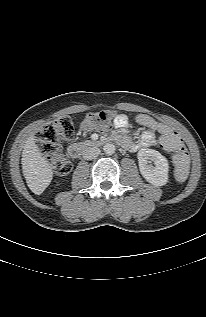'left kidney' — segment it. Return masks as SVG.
Returning <instances> with one entry per match:
<instances>
[{
	"label": "left kidney",
	"instance_id": "5707ae66",
	"mask_svg": "<svg viewBox=\"0 0 206 317\" xmlns=\"http://www.w3.org/2000/svg\"><path fill=\"white\" fill-rule=\"evenodd\" d=\"M141 175L149 182L157 186H163L168 182V160L153 149H141L137 153ZM154 162V166L148 164Z\"/></svg>",
	"mask_w": 206,
	"mask_h": 317
}]
</instances>
